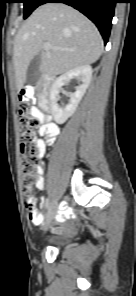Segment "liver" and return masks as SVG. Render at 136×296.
<instances>
[{
    "instance_id": "1",
    "label": "liver",
    "mask_w": 136,
    "mask_h": 296,
    "mask_svg": "<svg viewBox=\"0 0 136 296\" xmlns=\"http://www.w3.org/2000/svg\"><path fill=\"white\" fill-rule=\"evenodd\" d=\"M45 42L60 49L46 50ZM102 52V37L87 17L63 3L43 4L34 10L15 37L13 63L17 90L24 87L29 63L38 54L40 72L54 77L96 62Z\"/></svg>"
}]
</instances>
